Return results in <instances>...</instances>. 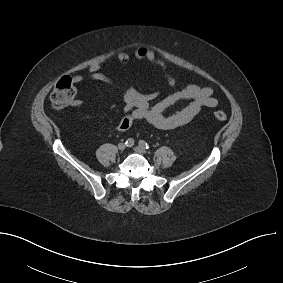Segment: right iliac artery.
Segmentation results:
<instances>
[{
  "label": "right iliac artery",
  "instance_id": "right-iliac-artery-1",
  "mask_svg": "<svg viewBox=\"0 0 283 283\" xmlns=\"http://www.w3.org/2000/svg\"><path fill=\"white\" fill-rule=\"evenodd\" d=\"M125 144L128 146V147H131L134 145V140L132 138H129L126 140Z\"/></svg>",
  "mask_w": 283,
  "mask_h": 283
}]
</instances>
